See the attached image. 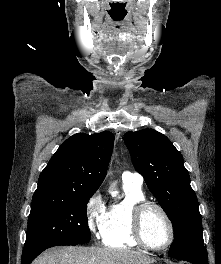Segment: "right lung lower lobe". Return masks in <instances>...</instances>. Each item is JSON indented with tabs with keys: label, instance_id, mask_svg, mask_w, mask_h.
<instances>
[{
	"label": "right lung lower lobe",
	"instance_id": "obj_1",
	"mask_svg": "<svg viewBox=\"0 0 221 264\" xmlns=\"http://www.w3.org/2000/svg\"><path fill=\"white\" fill-rule=\"evenodd\" d=\"M42 251L44 250L22 257V264H30Z\"/></svg>",
	"mask_w": 221,
	"mask_h": 264
}]
</instances>
